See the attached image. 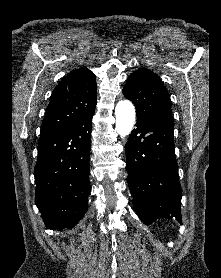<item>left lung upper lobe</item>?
<instances>
[{"instance_id":"1","label":"left lung upper lobe","mask_w":221,"mask_h":278,"mask_svg":"<svg viewBox=\"0 0 221 278\" xmlns=\"http://www.w3.org/2000/svg\"><path fill=\"white\" fill-rule=\"evenodd\" d=\"M125 98L136 108L137 118L147 120L173 119L170 96L159 76L148 69H138L127 79Z\"/></svg>"}]
</instances>
